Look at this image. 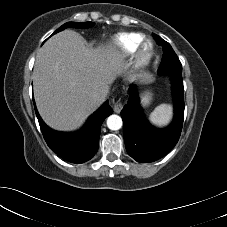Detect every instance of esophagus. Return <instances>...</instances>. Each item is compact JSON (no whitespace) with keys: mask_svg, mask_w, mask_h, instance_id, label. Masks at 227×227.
Returning <instances> with one entry per match:
<instances>
[{"mask_svg":"<svg viewBox=\"0 0 227 227\" xmlns=\"http://www.w3.org/2000/svg\"><path fill=\"white\" fill-rule=\"evenodd\" d=\"M122 108H123V104L120 101H118V102L115 103L113 109H114L115 113H120Z\"/></svg>","mask_w":227,"mask_h":227,"instance_id":"esophagus-1","label":"esophagus"}]
</instances>
